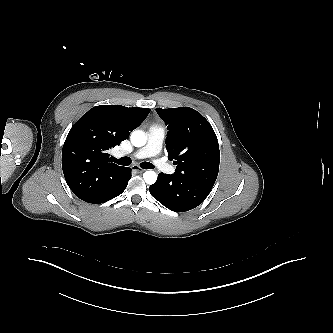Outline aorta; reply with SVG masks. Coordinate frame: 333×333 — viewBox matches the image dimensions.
<instances>
[{
    "label": "aorta",
    "instance_id": "762f6f07",
    "mask_svg": "<svg viewBox=\"0 0 333 333\" xmlns=\"http://www.w3.org/2000/svg\"><path fill=\"white\" fill-rule=\"evenodd\" d=\"M131 143L135 146V147H142L146 144L147 142V136L146 134L142 131V130H134L131 133V137H130ZM143 178L144 181L151 185L154 184L157 180V174L150 170V171H146L143 174Z\"/></svg>",
    "mask_w": 333,
    "mask_h": 333
}]
</instances>
